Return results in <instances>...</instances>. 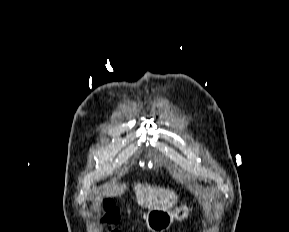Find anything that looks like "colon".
Returning a JSON list of instances; mask_svg holds the SVG:
<instances>
[{
    "instance_id": "obj_1",
    "label": "colon",
    "mask_w": 289,
    "mask_h": 232,
    "mask_svg": "<svg viewBox=\"0 0 289 232\" xmlns=\"http://www.w3.org/2000/svg\"><path fill=\"white\" fill-rule=\"evenodd\" d=\"M119 220L120 213L114 202L110 199H105L103 201V213L99 220L100 225L104 227L107 232H120L116 228Z\"/></svg>"
}]
</instances>
